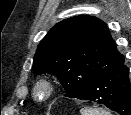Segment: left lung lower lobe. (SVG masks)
<instances>
[{
	"mask_svg": "<svg viewBox=\"0 0 131 115\" xmlns=\"http://www.w3.org/2000/svg\"><path fill=\"white\" fill-rule=\"evenodd\" d=\"M76 98L103 104L120 115H131V84L124 58L96 77Z\"/></svg>",
	"mask_w": 131,
	"mask_h": 115,
	"instance_id": "left-lung-lower-lobe-1",
	"label": "left lung lower lobe"
}]
</instances>
